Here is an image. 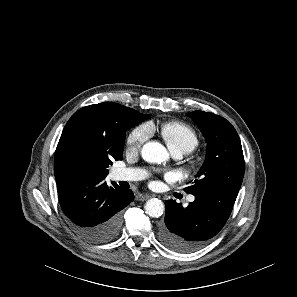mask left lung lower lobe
<instances>
[{
	"mask_svg": "<svg viewBox=\"0 0 297 297\" xmlns=\"http://www.w3.org/2000/svg\"><path fill=\"white\" fill-rule=\"evenodd\" d=\"M237 194L217 192L195 196L186 208L175 200L165 202L162 243L180 253L200 249L215 236L230 216Z\"/></svg>",
	"mask_w": 297,
	"mask_h": 297,
	"instance_id": "obj_1",
	"label": "left lung lower lobe"
}]
</instances>
